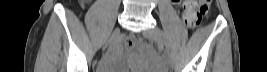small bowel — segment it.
Instances as JSON below:
<instances>
[{
    "mask_svg": "<svg viewBox=\"0 0 267 72\" xmlns=\"http://www.w3.org/2000/svg\"><path fill=\"white\" fill-rule=\"evenodd\" d=\"M177 6L180 7L182 6L183 10H184V21L185 23L189 26V27H194L198 22L199 19L197 18V16L192 14V10L194 8V2L193 1H175ZM126 43L128 45V47H131L132 45V41L131 39H127Z\"/></svg>",
    "mask_w": 267,
    "mask_h": 72,
    "instance_id": "1",
    "label": "small bowel"
}]
</instances>
